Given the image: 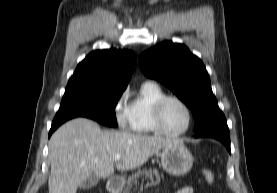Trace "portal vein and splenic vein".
I'll use <instances>...</instances> for the list:
<instances>
[{"instance_id":"18ae733b","label":"portal vein and splenic vein","mask_w":277,"mask_h":193,"mask_svg":"<svg viewBox=\"0 0 277 193\" xmlns=\"http://www.w3.org/2000/svg\"><path fill=\"white\" fill-rule=\"evenodd\" d=\"M121 159V154H116L115 155V161H119Z\"/></svg>"}]
</instances>
